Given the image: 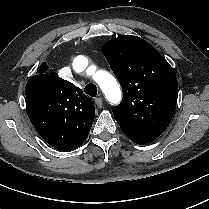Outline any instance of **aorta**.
<instances>
[{
    "instance_id": "762f6f07",
    "label": "aorta",
    "mask_w": 209,
    "mask_h": 209,
    "mask_svg": "<svg viewBox=\"0 0 209 209\" xmlns=\"http://www.w3.org/2000/svg\"><path fill=\"white\" fill-rule=\"evenodd\" d=\"M87 65L88 59L84 56H77L73 60V69L76 72L84 71ZM93 78L110 101H113L118 97L120 93L119 85L114 76H112L109 72L104 70L97 71Z\"/></svg>"
}]
</instances>
